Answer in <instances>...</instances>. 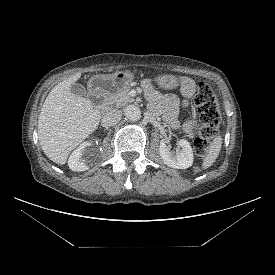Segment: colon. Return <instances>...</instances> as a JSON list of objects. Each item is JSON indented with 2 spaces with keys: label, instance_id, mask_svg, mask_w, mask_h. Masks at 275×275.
Segmentation results:
<instances>
[{
  "label": "colon",
  "instance_id": "colon-1",
  "mask_svg": "<svg viewBox=\"0 0 275 275\" xmlns=\"http://www.w3.org/2000/svg\"><path fill=\"white\" fill-rule=\"evenodd\" d=\"M194 100L200 116V126L194 140V149L198 156L205 158L210 142L218 132L222 116L216 95L209 84L201 82L198 85Z\"/></svg>",
  "mask_w": 275,
  "mask_h": 275
}]
</instances>
